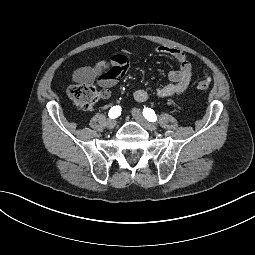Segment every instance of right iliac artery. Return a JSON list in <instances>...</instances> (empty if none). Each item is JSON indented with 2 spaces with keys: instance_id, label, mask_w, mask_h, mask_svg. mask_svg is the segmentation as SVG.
<instances>
[{
  "instance_id": "right-iliac-artery-1",
  "label": "right iliac artery",
  "mask_w": 255,
  "mask_h": 255,
  "mask_svg": "<svg viewBox=\"0 0 255 255\" xmlns=\"http://www.w3.org/2000/svg\"><path fill=\"white\" fill-rule=\"evenodd\" d=\"M121 114V107L120 106H113L110 110H109V117L112 119L117 118L119 115Z\"/></svg>"
}]
</instances>
